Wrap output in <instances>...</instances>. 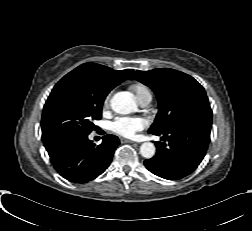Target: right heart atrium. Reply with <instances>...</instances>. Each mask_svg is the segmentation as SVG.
<instances>
[{
	"label": "right heart atrium",
	"instance_id": "1",
	"mask_svg": "<svg viewBox=\"0 0 252 231\" xmlns=\"http://www.w3.org/2000/svg\"><path fill=\"white\" fill-rule=\"evenodd\" d=\"M110 97H111V93L107 94L106 97L104 98V100H103V109H107L109 107Z\"/></svg>",
	"mask_w": 252,
	"mask_h": 231
}]
</instances>
